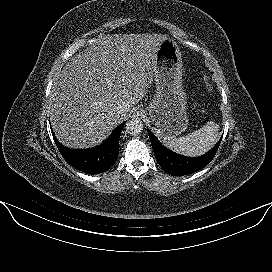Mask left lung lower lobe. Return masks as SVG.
<instances>
[{"instance_id": "1", "label": "left lung lower lobe", "mask_w": 272, "mask_h": 272, "mask_svg": "<svg viewBox=\"0 0 272 272\" xmlns=\"http://www.w3.org/2000/svg\"><path fill=\"white\" fill-rule=\"evenodd\" d=\"M147 131L158 164L167 174L173 176L188 175L207 166L214 158L222 139L206 154L186 157L165 148L149 130Z\"/></svg>"}]
</instances>
